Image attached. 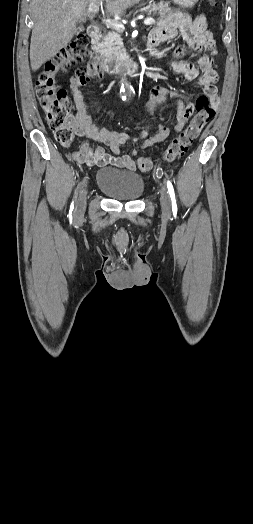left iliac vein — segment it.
Returning <instances> with one entry per match:
<instances>
[{
	"label": "left iliac vein",
	"instance_id": "1",
	"mask_svg": "<svg viewBox=\"0 0 253 524\" xmlns=\"http://www.w3.org/2000/svg\"><path fill=\"white\" fill-rule=\"evenodd\" d=\"M160 203L163 213L169 215L171 213V200L165 186L161 188Z\"/></svg>",
	"mask_w": 253,
	"mask_h": 524
}]
</instances>
